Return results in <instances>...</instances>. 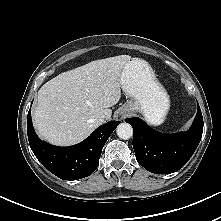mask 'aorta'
I'll use <instances>...</instances> for the list:
<instances>
[{
	"label": "aorta",
	"instance_id": "1",
	"mask_svg": "<svg viewBox=\"0 0 221 221\" xmlns=\"http://www.w3.org/2000/svg\"><path fill=\"white\" fill-rule=\"evenodd\" d=\"M117 135L120 139L128 140L133 136V128L128 123H120L117 127Z\"/></svg>",
	"mask_w": 221,
	"mask_h": 221
}]
</instances>
